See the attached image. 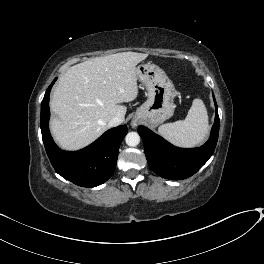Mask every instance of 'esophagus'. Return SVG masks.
Segmentation results:
<instances>
[{"label": "esophagus", "instance_id": "esophagus-1", "mask_svg": "<svg viewBox=\"0 0 264 264\" xmlns=\"http://www.w3.org/2000/svg\"><path fill=\"white\" fill-rule=\"evenodd\" d=\"M131 126H132V127H136V126H137V123H136L135 121H132V122H131Z\"/></svg>", "mask_w": 264, "mask_h": 264}]
</instances>
